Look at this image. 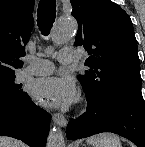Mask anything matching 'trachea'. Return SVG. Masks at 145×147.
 <instances>
[{
    "label": "trachea",
    "mask_w": 145,
    "mask_h": 147,
    "mask_svg": "<svg viewBox=\"0 0 145 147\" xmlns=\"http://www.w3.org/2000/svg\"><path fill=\"white\" fill-rule=\"evenodd\" d=\"M37 16V24L39 30L44 36H47L50 33V30L56 18V1L40 0Z\"/></svg>",
    "instance_id": "trachea-1"
}]
</instances>
